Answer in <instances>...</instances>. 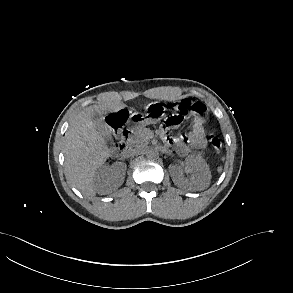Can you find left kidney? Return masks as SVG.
Here are the masks:
<instances>
[{
	"label": "left kidney",
	"mask_w": 293,
	"mask_h": 293,
	"mask_svg": "<svg viewBox=\"0 0 293 293\" xmlns=\"http://www.w3.org/2000/svg\"><path fill=\"white\" fill-rule=\"evenodd\" d=\"M192 173L190 180L183 177V170ZM171 177L178 187H190L194 190L206 189L211 180V172L208 164L203 160L189 159L184 166H170Z\"/></svg>",
	"instance_id": "1"
}]
</instances>
